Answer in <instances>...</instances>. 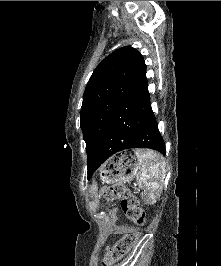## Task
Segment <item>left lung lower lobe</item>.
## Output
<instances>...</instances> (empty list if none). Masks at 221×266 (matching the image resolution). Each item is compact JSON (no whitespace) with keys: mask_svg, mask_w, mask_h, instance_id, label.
I'll return each mask as SVG.
<instances>
[{"mask_svg":"<svg viewBox=\"0 0 221 266\" xmlns=\"http://www.w3.org/2000/svg\"><path fill=\"white\" fill-rule=\"evenodd\" d=\"M132 148H151L165 155L145 80L123 102L88 165V179L109 157Z\"/></svg>","mask_w":221,"mask_h":266,"instance_id":"0a47b994","label":"left lung lower lobe"}]
</instances>
